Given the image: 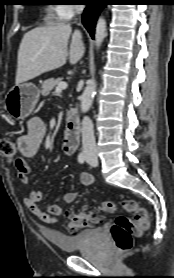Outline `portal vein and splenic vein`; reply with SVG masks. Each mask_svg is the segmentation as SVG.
I'll list each match as a JSON object with an SVG mask.
<instances>
[{
	"instance_id": "obj_1",
	"label": "portal vein and splenic vein",
	"mask_w": 174,
	"mask_h": 278,
	"mask_svg": "<svg viewBox=\"0 0 174 278\" xmlns=\"http://www.w3.org/2000/svg\"><path fill=\"white\" fill-rule=\"evenodd\" d=\"M68 87V84L66 82H60L56 87V92L65 90Z\"/></svg>"
}]
</instances>
